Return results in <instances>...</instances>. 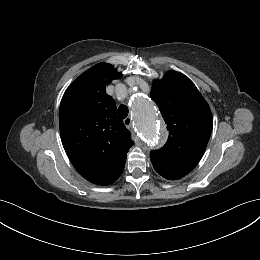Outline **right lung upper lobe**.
<instances>
[{
  "instance_id": "obj_1",
  "label": "right lung upper lobe",
  "mask_w": 260,
  "mask_h": 260,
  "mask_svg": "<svg viewBox=\"0 0 260 260\" xmlns=\"http://www.w3.org/2000/svg\"><path fill=\"white\" fill-rule=\"evenodd\" d=\"M121 73L98 63L82 73L65 91L59 109L63 147L75 169L89 182L109 185L116 181L134 144L116 115L115 101L106 86Z\"/></svg>"
}]
</instances>
